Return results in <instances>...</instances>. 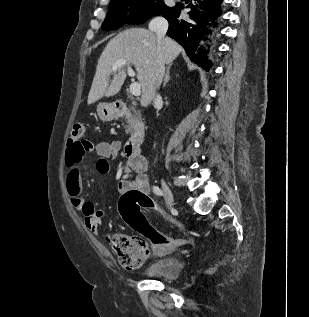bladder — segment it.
<instances>
[{
    "label": "bladder",
    "mask_w": 309,
    "mask_h": 317,
    "mask_svg": "<svg viewBox=\"0 0 309 317\" xmlns=\"http://www.w3.org/2000/svg\"><path fill=\"white\" fill-rule=\"evenodd\" d=\"M182 269V262L178 258L165 257L149 265L144 274L149 278L174 280L180 276Z\"/></svg>",
    "instance_id": "1"
}]
</instances>
